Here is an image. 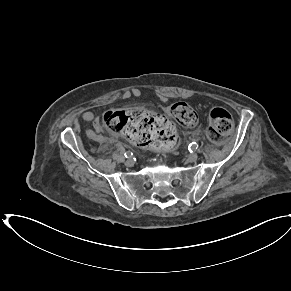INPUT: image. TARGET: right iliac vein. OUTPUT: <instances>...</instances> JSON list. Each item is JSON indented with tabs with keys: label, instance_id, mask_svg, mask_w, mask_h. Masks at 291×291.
I'll return each mask as SVG.
<instances>
[{
	"label": "right iliac vein",
	"instance_id": "obj_1",
	"mask_svg": "<svg viewBox=\"0 0 291 291\" xmlns=\"http://www.w3.org/2000/svg\"><path fill=\"white\" fill-rule=\"evenodd\" d=\"M125 165H126L127 167H132V166L134 165V162H133V160L128 159V160L125 162Z\"/></svg>",
	"mask_w": 291,
	"mask_h": 291
}]
</instances>
